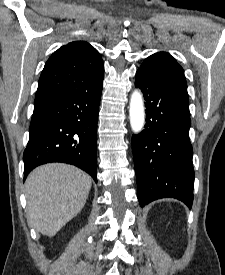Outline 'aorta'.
<instances>
[{"instance_id": "obj_1", "label": "aorta", "mask_w": 225, "mask_h": 275, "mask_svg": "<svg viewBox=\"0 0 225 275\" xmlns=\"http://www.w3.org/2000/svg\"><path fill=\"white\" fill-rule=\"evenodd\" d=\"M130 124L134 133H139L145 123V110L142 94L139 90H135L130 99L129 106Z\"/></svg>"}]
</instances>
